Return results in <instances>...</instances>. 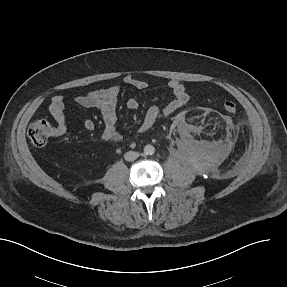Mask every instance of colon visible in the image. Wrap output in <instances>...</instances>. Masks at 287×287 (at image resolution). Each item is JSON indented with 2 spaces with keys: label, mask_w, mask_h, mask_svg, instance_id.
<instances>
[{
  "label": "colon",
  "mask_w": 287,
  "mask_h": 287,
  "mask_svg": "<svg viewBox=\"0 0 287 287\" xmlns=\"http://www.w3.org/2000/svg\"><path fill=\"white\" fill-rule=\"evenodd\" d=\"M224 109L228 113H235L237 110L236 104L231 101L224 103ZM52 134L51 124L44 119H37L32 122L28 128V137L32 144L36 147H44L47 144L48 138Z\"/></svg>",
  "instance_id": "obj_1"
}]
</instances>
